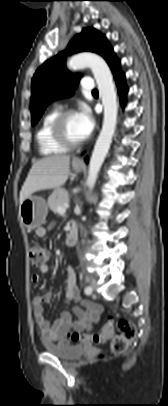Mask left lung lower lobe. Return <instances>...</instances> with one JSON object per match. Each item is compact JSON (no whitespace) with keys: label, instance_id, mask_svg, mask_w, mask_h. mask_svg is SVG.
Segmentation results:
<instances>
[{"label":"left lung lower lobe","instance_id":"left-lung-lower-lobe-1","mask_svg":"<svg viewBox=\"0 0 168 406\" xmlns=\"http://www.w3.org/2000/svg\"><path fill=\"white\" fill-rule=\"evenodd\" d=\"M114 77L116 79V83L118 86V92L120 94V99H121V104L124 107L125 105V99H126V94L128 92V88L125 85V76L124 74L120 71V61L114 56L109 62H108ZM86 158V162H87Z\"/></svg>","mask_w":168,"mask_h":406}]
</instances>
